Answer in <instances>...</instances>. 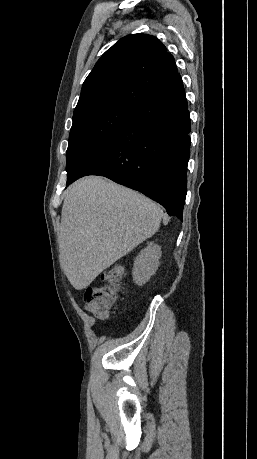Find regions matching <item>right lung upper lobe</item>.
Wrapping results in <instances>:
<instances>
[{
  "instance_id": "obj_1",
  "label": "right lung upper lobe",
  "mask_w": 257,
  "mask_h": 459,
  "mask_svg": "<svg viewBox=\"0 0 257 459\" xmlns=\"http://www.w3.org/2000/svg\"><path fill=\"white\" fill-rule=\"evenodd\" d=\"M180 80L173 56L157 38L128 35L97 61L83 83L73 119L108 106L137 109Z\"/></svg>"
}]
</instances>
